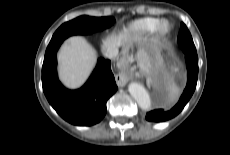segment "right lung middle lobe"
<instances>
[{
  "label": "right lung middle lobe",
  "instance_id": "1",
  "mask_svg": "<svg viewBox=\"0 0 230 155\" xmlns=\"http://www.w3.org/2000/svg\"><path fill=\"white\" fill-rule=\"evenodd\" d=\"M113 17L80 16L61 25L54 33L49 45L63 42L67 37L77 34H91L113 25Z\"/></svg>",
  "mask_w": 230,
  "mask_h": 155
}]
</instances>
